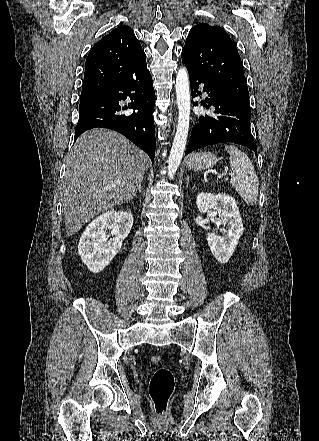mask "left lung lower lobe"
I'll return each instance as SVG.
<instances>
[{
  "label": "left lung lower lobe",
  "instance_id": "left-lung-lower-lobe-1",
  "mask_svg": "<svg viewBox=\"0 0 319 441\" xmlns=\"http://www.w3.org/2000/svg\"><path fill=\"white\" fill-rule=\"evenodd\" d=\"M188 73L192 97L201 94L197 90L199 84L203 83V91L209 96L205 99L203 106L206 108L212 106L214 115L198 118L185 154L211 144L226 142L246 146L257 154V146L250 130V107L236 99L218 83L190 70ZM194 105L197 106L198 102H194Z\"/></svg>",
  "mask_w": 319,
  "mask_h": 441
}]
</instances>
